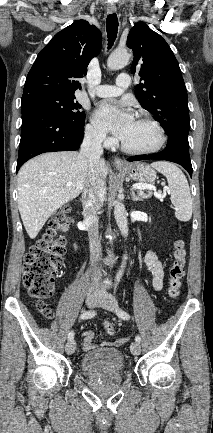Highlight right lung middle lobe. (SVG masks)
Returning <instances> with one entry per match:
<instances>
[{
	"label": "right lung middle lobe",
	"instance_id": "obj_1",
	"mask_svg": "<svg viewBox=\"0 0 213 433\" xmlns=\"http://www.w3.org/2000/svg\"><path fill=\"white\" fill-rule=\"evenodd\" d=\"M75 95H63L53 92H37L22 96L21 107H38L50 111L62 120L76 127L85 123V113L78 111L81 105L74 101Z\"/></svg>",
	"mask_w": 213,
	"mask_h": 433
}]
</instances>
